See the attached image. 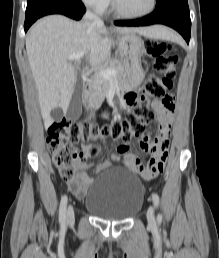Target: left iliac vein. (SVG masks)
I'll use <instances>...</instances> for the list:
<instances>
[{
	"instance_id": "1",
	"label": "left iliac vein",
	"mask_w": 219,
	"mask_h": 258,
	"mask_svg": "<svg viewBox=\"0 0 219 258\" xmlns=\"http://www.w3.org/2000/svg\"><path fill=\"white\" fill-rule=\"evenodd\" d=\"M147 220H148V223L151 224V225H154L155 224V217H154V209L152 206H150L147 210Z\"/></svg>"
}]
</instances>
